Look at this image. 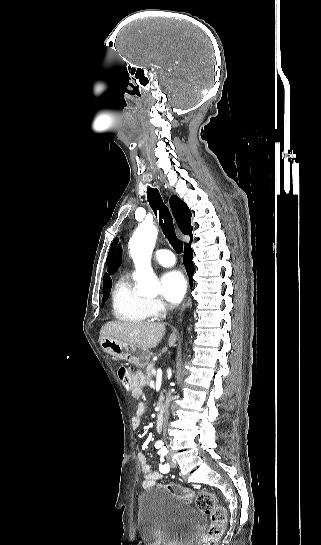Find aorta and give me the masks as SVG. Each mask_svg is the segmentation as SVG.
Returning a JSON list of instances; mask_svg holds the SVG:
<instances>
[{
	"mask_svg": "<svg viewBox=\"0 0 321 545\" xmlns=\"http://www.w3.org/2000/svg\"><path fill=\"white\" fill-rule=\"evenodd\" d=\"M157 235L158 232L155 226L142 224L129 241V250L138 279L137 289L144 295H155L160 291V286L150 263Z\"/></svg>",
	"mask_w": 321,
	"mask_h": 545,
	"instance_id": "obj_1",
	"label": "aorta"
}]
</instances>
